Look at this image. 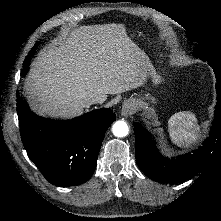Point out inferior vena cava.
Instances as JSON below:
<instances>
[{"label": "inferior vena cava", "mask_w": 221, "mask_h": 221, "mask_svg": "<svg viewBox=\"0 0 221 221\" xmlns=\"http://www.w3.org/2000/svg\"><path fill=\"white\" fill-rule=\"evenodd\" d=\"M105 100L104 96L101 95H95V96H91L90 98H88L86 100V102L90 105L95 104V103H103Z\"/></svg>", "instance_id": "obj_1"}]
</instances>
